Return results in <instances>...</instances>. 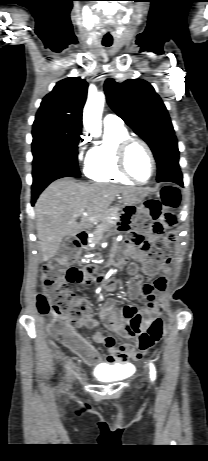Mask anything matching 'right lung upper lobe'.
<instances>
[{"mask_svg": "<svg viewBox=\"0 0 208 461\" xmlns=\"http://www.w3.org/2000/svg\"><path fill=\"white\" fill-rule=\"evenodd\" d=\"M88 83L79 77L59 81L44 97L35 120H52L81 130Z\"/></svg>", "mask_w": 208, "mask_h": 461, "instance_id": "obj_1", "label": "right lung upper lobe"}]
</instances>
